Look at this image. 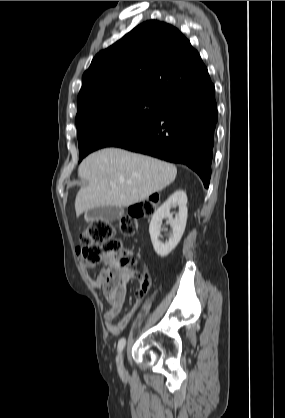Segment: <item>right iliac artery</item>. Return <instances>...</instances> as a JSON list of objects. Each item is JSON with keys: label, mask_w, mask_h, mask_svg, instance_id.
<instances>
[{"label": "right iliac artery", "mask_w": 285, "mask_h": 418, "mask_svg": "<svg viewBox=\"0 0 285 418\" xmlns=\"http://www.w3.org/2000/svg\"><path fill=\"white\" fill-rule=\"evenodd\" d=\"M125 344H126L125 338H121L118 342V351H121L124 348Z\"/></svg>", "instance_id": "1"}]
</instances>
